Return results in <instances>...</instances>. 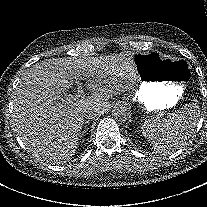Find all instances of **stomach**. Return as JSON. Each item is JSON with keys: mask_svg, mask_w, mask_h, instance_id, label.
<instances>
[{"mask_svg": "<svg viewBox=\"0 0 207 207\" xmlns=\"http://www.w3.org/2000/svg\"><path fill=\"white\" fill-rule=\"evenodd\" d=\"M132 61L141 80L137 101L146 112L174 107L191 76L188 64L165 58L158 52L137 53Z\"/></svg>", "mask_w": 207, "mask_h": 207, "instance_id": "obj_1", "label": "stomach"}]
</instances>
